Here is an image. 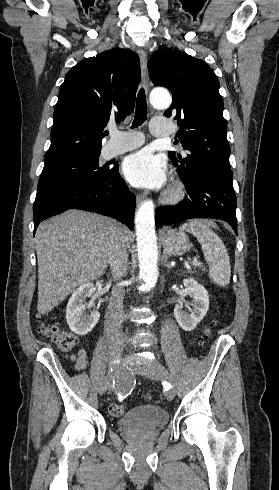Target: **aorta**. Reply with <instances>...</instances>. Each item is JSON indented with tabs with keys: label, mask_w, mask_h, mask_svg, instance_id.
<instances>
[{
	"label": "aorta",
	"mask_w": 279,
	"mask_h": 490,
	"mask_svg": "<svg viewBox=\"0 0 279 490\" xmlns=\"http://www.w3.org/2000/svg\"><path fill=\"white\" fill-rule=\"evenodd\" d=\"M151 104L156 108H167L172 102L170 94L165 90H154L150 95ZM154 204L152 200L145 201L135 216L138 259L140 278V291H150L157 282L158 247L155 232ZM115 337L121 339L123 332L120 328Z\"/></svg>",
	"instance_id": "aorta-1"
}]
</instances>
